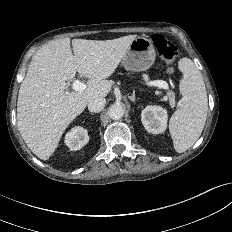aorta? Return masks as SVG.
Wrapping results in <instances>:
<instances>
[{
  "label": "aorta",
  "instance_id": "762f6f07",
  "mask_svg": "<svg viewBox=\"0 0 232 232\" xmlns=\"http://www.w3.org/2000/svg\"><path fill=\"white\" fill-rule=\"evenodd\" d=\"M109 117L113 120H119L124 116V109L121 105L114 104L109 109Z\"/></svg>",
  "mask_w": 232,
  "mask_h": 232
}]
</instances>
